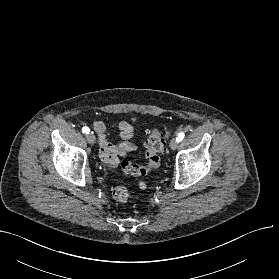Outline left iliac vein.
I'll list each match as a JSON object with an SVG mask.
<instances>
[{"instance_id":"4c4485c4","label":"left iliac vein","mask_w":279,"mask_h":279,"mask_svg":"<svg viewBox=\"0 0 279 279\" xmlns=\"http://www.w3.org/2000/svg\"><path fill=\"white\" fill-rule=\"evenodd\" d=\"M169 146H170V148H171L172 150H176L177 147H178V142H177V140H176V139H172V140L170 141Z\"/></svg>"}]
</instances>
